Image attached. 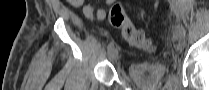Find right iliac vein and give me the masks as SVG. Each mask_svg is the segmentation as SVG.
<instances>
[{
	"mask_svg": "<svg viewBox=\"0 0 209 90\" xmlns=\"http://www.w3.org/2000/svg\"><path fill=\"white\" fill-rule=\"evenodd\" d=\"M118 51L116 48H113L111 51L108 52V57L111 61H114L117 59Z\"/></svg>",
	"mask_w": 209,
	"mask_h": 90,
	"instance_id": "obj_1",
	"label": "right iliac vein"
}]
</instances>
